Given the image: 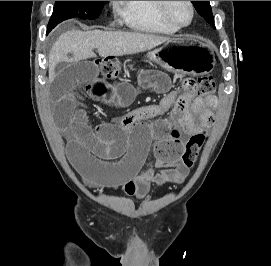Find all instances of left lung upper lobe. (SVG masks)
Wrapping results in <instances>:
<instances>
[{
	"label": "left lung upper lobe",
	"mask_w": 271,
	"mask_h": 266,
	"mask_svg": "<svg viewBox=\"0 0 271 266\" xmlns=\"http://www.w3.org/2000/svg\"><path fill=\"white\" fill-rule=\"evenodd\" d=\"M197 10V12L205 18V20L211 24L213 28L214 26V18L211 11V6L209 1H191Z\"/></svg>",
	"instance_id": "obj_1"
}]
</instances>
